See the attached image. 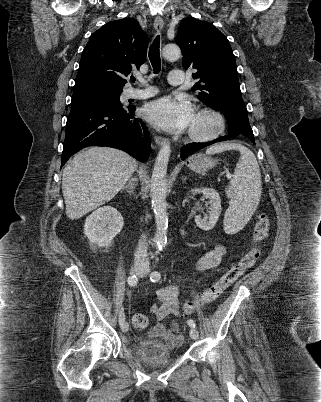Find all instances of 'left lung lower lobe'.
Segmentation results:
<instances>
[{"label":"left lung lower lobe","instance_id":"left-lung-lower-lobe-1","mask_svg":"<svg viewBox=\"0 0 321 402\" xmlns=\"http://www.w3.org/2000/svg\"><path fill=\"white\" fill-rule=\"evenodd\" d=\"M229 124V135L217 138L215 140L205 142V143H191L182 148L181 151V159L184 160L194 152L212 145L216 142L225 141L231 137H235L237 135H245L247 136L252 143L255 144L253 131L251 129L247 111L245 108H235L231 110L229 116L226 117Z\"/></svg>","mask_w":321,"mask_h":402}]
</instances>
